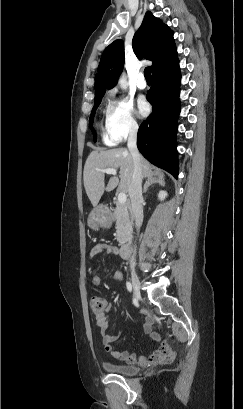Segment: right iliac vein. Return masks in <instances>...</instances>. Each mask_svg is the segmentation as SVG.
Listing matches in <instances>:
<instances>
[{
  "label": "right iliac vein",
  "mask_w": 243,
  "mask_h": 409,
  "mask_svg": "<svg viewBox=\"0 0 243 409\" xmlns=\"http://www.w3.org/2000/svg\"><path fill=\"white\" fill-rule=\"evenodd\" d=\"M131 280H132V285H133L135 296L139 298L140 297V282H139L138 276L136 275L134 271H132L131 273Z\"/></svg>",
  "instance_id": "obj_1"
}]
</instances>
